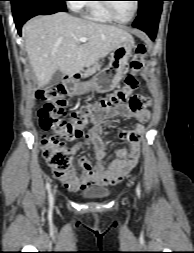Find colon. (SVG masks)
<instances>
[{"label": "colon", "instance_id": "1", "mask_svg": "<svg viewBox=\"0 0 194 253\" xmlns=\"http://www.w3.org/2000/svg\"><path fill=\"white\" fill-rule=\"evenodd\" d=\"M147 53V45L139 43L130 60V73L126 76L123 87L102 98L97 104L82 105L73 111L71 120L65 119L68 100L62 85L47 87L37 93L38 99L44 102V107L39 112L40 127L46 133L41 141L42 154L54 170H69L72 158L65 145L82 139L85 135L84 128L90 121L127 104V97H132V93L139 87L137 73L142 69Z\"/></svg>", "mask_w": 194, "mask_h": 253}]
</instances>
